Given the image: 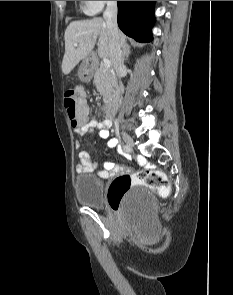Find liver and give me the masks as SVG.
Instances as JSON below:
<instances>
[{
  "instance_id": "1",
  "label": "liver",
  "mask_w": 233,
  "mask_h": 295,
  "mask_svg": "<svg viewBox=\"0 0 233 295\" xmlns=\"http://www.w3.org/2000/svg\"><path fill=\"white\" fill-rule=\"evenodd\" d=\"M121 47L128 46L126 36L118 31ZM65 53L62 61V72L68 75L74 67L85 59L93 50L98 38V56L111 58L110 33L107 23L102 18L73 21L65 30ZM75 44L78 46L76 47Z\"/></svg>"
}]
</instances>
